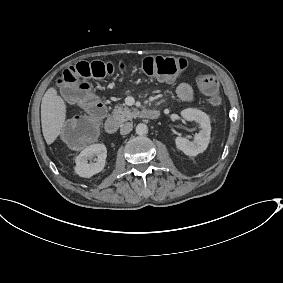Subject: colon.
<instances>
[{
	"label": "colon",
	"instance_id": "obj_1",
	"mask_svg": "<svg viewBox=\"0 0 283 283\" xmlns=\"http://www.w3.org/2000/svg\"><path fill=\"white\" fill-rule=\"evenodd\" d=\"M185 67L186 62L182 58L149 56L139 64L94 61L79 62L66 68L58 78V84L63 96L70 103L79 106L84 114L66 122L62 129V138L72 146L87 144L96 136L100 122L105 116L104 104L85 79L103 78L127 70H138L147 76L172 79ZM196 85L213 105H219V82L214 74L197 76Z\"/></svg>",
	"mask_w": 283,
	"mask_h": 283
}]
</instances>
